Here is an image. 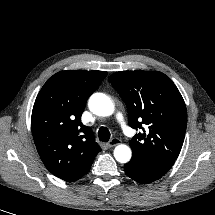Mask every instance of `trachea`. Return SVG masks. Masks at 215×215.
Returning a JSON list of instances; mask_svg holds the SVG:
<instances>
[{
    "label": "trachea",
    "instance_id": "obj_1",
    "mask_svg": "<svg viewBox=\"0 0 215 215\" xmlns=\"http://www.w3.org/2000/svg\"><path fill=\"white\" fill-rule=\"evenodd\" d=\"M99 140L107 142L110 139V132L106 127H100L98 131Z\"/></svg>",
    "mask_w": 215,
    "mask_h": 215
}]
</instances>
